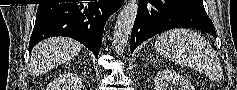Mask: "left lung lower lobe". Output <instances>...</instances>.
Returning a JSON list of instances; mask_svg holds the SVG:
<instances>
[{"label":"left lung lower lobe","instance_id":"left-lung-lower-lobe-1","mask_svg":"<svg viewBox=\"0 0 237 90\" xmlns=\"http://www.w3.org/2000/svg\"><path fill=\"white\" fill-rule=\"evenodd\" d=\"M181 27L199 29L216 37L202 0H139L131 34V53L150 37Z\"/></svg>","mask_w":237,"mask_h":90}]
</instances>
